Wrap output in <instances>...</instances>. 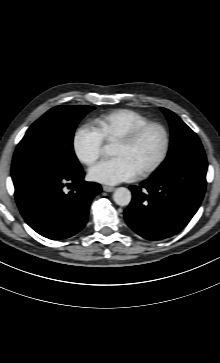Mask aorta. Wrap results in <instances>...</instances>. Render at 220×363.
<instances>
[{"label":"aorta","mask_w":220,"mask_h":363,"mask_svg":"<svg viewBox=\"0 0 220 363\" xmlns=\"http://www.w3.org/2000/svg\"><path fill=\"white\" fill-rule=\"evenodd\" d=\"M104 151L108 155H114V148L112 145H105ZM131 192L125 187H119L115 190L113 194L114 202L119 206H127L131 202Z\"/></svg>","instance_id":"762f6f07"}]
</instances>
